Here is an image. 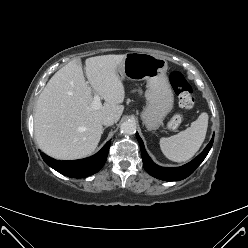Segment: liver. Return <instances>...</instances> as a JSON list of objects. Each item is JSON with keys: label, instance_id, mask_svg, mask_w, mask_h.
Listing matches in <instances>:
<instances>
[{"label": "liver", "instance_id": "liver-1", "mask_svg": "<svg viewBox=\"0 0 248 248\" xmlns=\"http://www.w3.org/2000/svg\"><path fill=\"white\" fill-rule=\"evenodd\" d=\"M123 55L87 58L85 80L81 59L57 71L41 92L35 109L34 132L40 149L59 160L86 157L98 146L104 116L117 122L123 111L125 89L117 73ZM93 91L104 99L94 107Z\"/></svg>", "mask_w": 248, "mask_h": 248}]
</instances>
